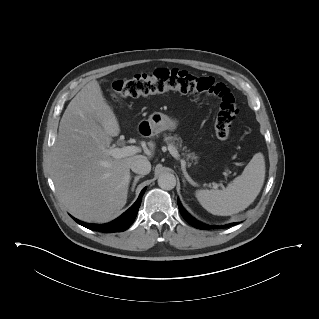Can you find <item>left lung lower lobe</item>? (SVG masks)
<instances>
[{
    "instance_id": "left-lung-lower-lobe-1",
    "label": "left lung lower lobe",
    "mask_w": 319,
    "mask_h": 319,
    "mask_svg": "<svg viewBox=\"0 0 319 319\" xmlns=\"http://www.w3.org/2000/svg\"><path fill=\"white\" fill-rule=\"evenodd\" d=\"M178 202V207H179V210H180V213L181 215L183 216V218L190 224L192 225L193 227L195 228H199V229H215V228H225V227H229V226H233V225H237L238 223H231V224H228V225H224V226H220V227H216V226H209L207 224H203L201 222H199L198 220H196L195 218H193L192 216H190L185 210L184 208L182 207L181 203L179 200H177Z\"/></svg>"
}]
</instances>
